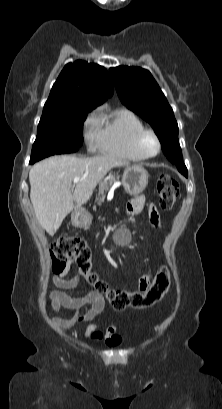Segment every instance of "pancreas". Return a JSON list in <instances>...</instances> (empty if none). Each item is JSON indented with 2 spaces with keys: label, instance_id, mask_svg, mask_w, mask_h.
<instances>
[{
  "label": "pancreas",
  "instance_id": "obj_1",
  "mask_svg": "<svg viewBox=\"0 0 222 409\" xmlns=\"http://www.w3.org/2000/svg\"><path fill=\"white\" fill-rule=\"evenodd\" d=\"M115 182H116V178L112 176L111 178L104 180L99 184V192L96 198L98 204H101L104 201L105 199L104 193L107 192L109 187Z\"/></svg>",
  "mask_w": 222,
  "mask_h": 409
}]
</instances>
